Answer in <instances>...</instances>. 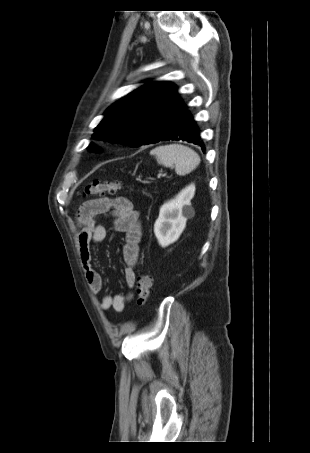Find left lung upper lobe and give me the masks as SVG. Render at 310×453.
I'll return each instance as SVG.
<instances>
[{
	"label": "left lung upper lobe",
	"mask_w": 310,
	"mask_h": 453,
	"mask_svg": "<svg viewBox=\"0 0 310 453\" xmlns=\"http://www.w3.org/2000/svg\"><path fill=\"white\" fill-rule=\"evenodd\" d=\"M180 101L172 83L141 86L107 109L93 138L131 147L157 143L167 131Z\"/></svg>",
	"instance_id": "left-lung-upper-lobe-1"
}]
</instances>
